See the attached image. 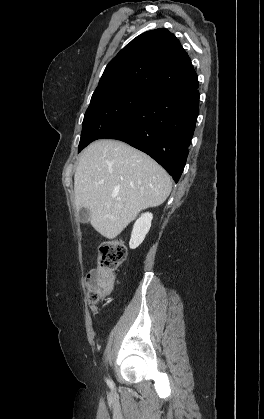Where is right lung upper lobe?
I'll list each match as a JSON object with an SVG mask.
<instances>
[{
	"mask_svg": "<svg viewBox=\"0 0 264 419\" xmlns=\"http://www.w3.org/2000/svg\"><path fill=\"white\" fill-rule=\"evenodd\" d=\"M196 83L197 74L179 40L167 29H155L133 39L108 63L96 89L128 84L157 94Z\"/></svg>",
	"mask_w": 264,
	"mask_h": 419,
	"instance_id": "cb5924a9",
	"label": "right lung upper lobe"
}]
</instances>
